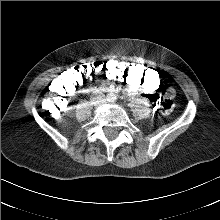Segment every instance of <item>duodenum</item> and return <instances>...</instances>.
I'll return each mask as SVG.
<instances>
[{"label":"duodenum","instance_id":"410a0bca","mask_svg":"<svg viewBox=\"0 0 220 220\" xmlns=\"http://www.w3.org/2000/svg\"><path fill=\"white\" fill-rule=\"evenodd\" d=\"M84 89L87 91H98L100 90V85H86L84 86Z\"/></svg>","mask_w":220,"mask_h":220}]
</instances>
